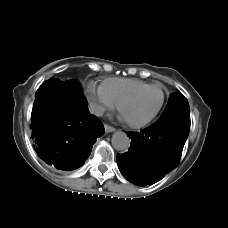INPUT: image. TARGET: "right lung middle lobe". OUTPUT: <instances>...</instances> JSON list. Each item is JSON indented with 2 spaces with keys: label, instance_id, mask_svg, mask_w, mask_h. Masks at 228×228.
<instances>
[{
  "label": "right lung middle lobe",
  "instance_id": "1",
  "mask_svg": "<svg viewBox=\"0 0 228 228\" xmlns=\"http://www.w3.org/2000/svg\"><path fill=\"white\" fill-rule=\"evenodd\" d=\"M49 81L53 82V83L62 82L66 86V88L68 89V94L71 97H75L81 91L80 90V84L78 81L64 82V81H60L59 79H50Z\"/></svg>",
  "mask_w": 228,
  "mask_h": 228
}]
</instances>
